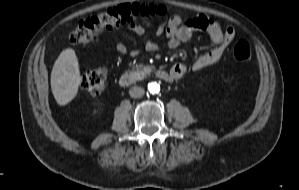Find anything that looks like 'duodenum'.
<instances>
[{"label": "duodenum", "mask_w": 299, "mask_h": 190, "mask_svg": "<svg viewBox=\"0 0 299 190\" xmlns=\"http://www.w3.org/2000/svg\"><path fill=\"white\" fill-rule=\"evenodd\" d=\"M156 75L159 77V78H168L169 77V74L167 71L165 70H159L156 72ZM139 78V75L137 72L135 71H130L128 73H126L123 78H122V81L125 83V84H131V83H134L138 80Z\"/></svg>", "instance_id": "1"}]
</instances>
